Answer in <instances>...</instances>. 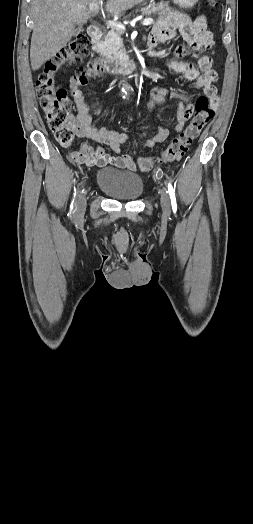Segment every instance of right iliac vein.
I'll use <instances>...</instances> for the list:
<instances>
[{"label": "right iliac vein", "mask_w": 253, "mask_h": 524, "mask_svg": "<svg viewBox=\"0 0 253 524\" xmlns=\"http://www.w3.org/2000/svg\"><path fill=\"white\" fill-rule=\"evenodd\" d=\"M86 209V191H83L79 196L76 204V216L81 217Z\"/></svg>", "instance_id": "1"}]
</instances>
